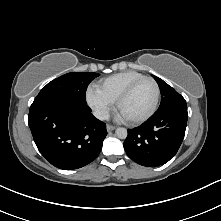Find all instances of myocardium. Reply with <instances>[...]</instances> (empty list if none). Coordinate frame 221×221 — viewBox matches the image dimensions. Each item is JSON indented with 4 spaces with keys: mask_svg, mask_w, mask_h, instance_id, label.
I'll use <instances>...</instances> for the list:
<instances>
[{
    "mask_svg": "<svg viewBox=\"0 0 221 221\" xmlns=\"http://www.w3.org/2000/svg\"><path fill=\"white\" fill-rule=\"evenodd\" d=\"M145 80H149L153 83L154 87H155V99L153 102L152 107L150 108V110L144 114L143 116L139 117V118H135V119H127V121L130 124H141L145 121H147L149 118H151L154 113L156 112L157 108H158V104H159V100H160V87L157 83V81L149 76H143L141 78L136 79L135 81H133L132 83H130L126 89L121 93V95L119 96V98L116 101V107L118 109V111H120L122 104L127 100V98L131 95V93L133 92V90L135 89V87L141 83L142 81Z\"/></svg>",
    "mask_w": 221,
    "mask_h": 221,
    "instance_id": "1",
    "label": "myocardium"
}]
</instances>
